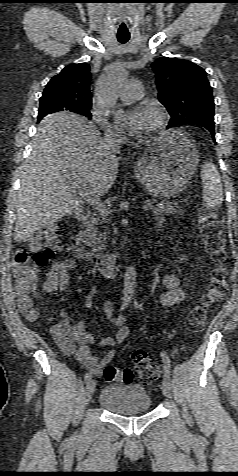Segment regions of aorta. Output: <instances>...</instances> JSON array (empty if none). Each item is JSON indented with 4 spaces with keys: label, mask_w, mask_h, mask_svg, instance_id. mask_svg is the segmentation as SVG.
<instances>
[{
    "label": "aorta",
    "mask_w": 238,
    "mask_h": 476,
    "mask_svg": "<svg viewBox=\"0 0 238 476\" xmlns=\"http://www.w3.org/2000/svg\"><path fill=\"white\" fill-rule=\"evenodd\" d=\"M126 78V70L121 66L111 68L103 77L97 91V101L103 111L120 113L116 107L119 89ZM136 287V270L131 265L127 267L123 287V305L130 304Z\"/></svg>",
    "instance_id": "aorta-1"
}]
</instances>
